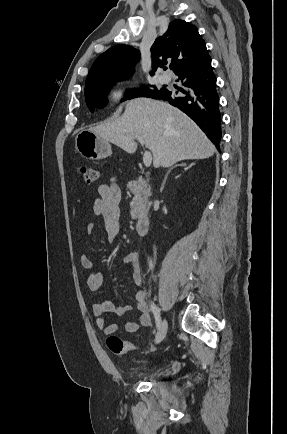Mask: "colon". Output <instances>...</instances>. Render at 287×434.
I'll return each instance as SVG.
<instances>
[{
    "mask_svg": "<svg viewBox=\"0 0 287 434\" xmlns=\"http://www.w3.org/2000/svg\"><path fill=\"white\" fill-rule=\"evenodd\" d=\"M80 174L84 180V182L88 184L95 183L99 180L100 172L98 168L94 167H85L82 166L80 168ZM106 344L109 350L116 354V355H122L125 353H128L132 350H135L137 348L136 345L133 343H130L128 341H124L118 336L110 335L106 339Z\"/></svg>",
    "mask_w": 287,
    "mask_h": 434,
    "instance_id": "colon-1",
    "label": "colon"
}]
</instances>
